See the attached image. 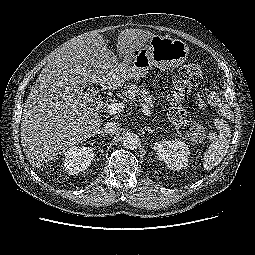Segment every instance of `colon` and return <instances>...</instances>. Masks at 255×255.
I'll return each mask as SVG.
<instances>
[{
    "instance_id": "5ec220e1",
    "label": "colon",
    "mask_w": 255,
    "mask_h": 255,
    "mask_svg": "<svg viewBox=\"0 0 255 255\" xmlns=\"http://www.w3.org/2000/svg\"><path fill=\"white\" fill-rule=\"evenodd\" d=\"M203 79V72L198 61H192L185 65L178 73L174 82V90L170 95V119L177 127L179 133L196 142H203L206 139L205 129L199 124L191 121L183 107V95L192 86L198 85ZM208 103L217 106L220 103V97L212 92L208 96Z\"/></svg>"
}]
</instances>
